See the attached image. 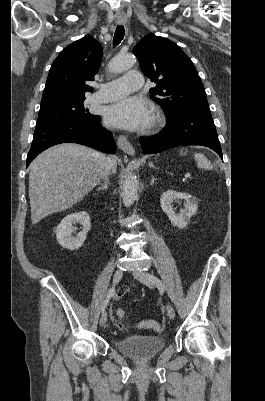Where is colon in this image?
I'll return each instance as SVG.
<instances>
[{
	"mask_svg": "<svg viewBox=\"0 0 265 401\" xmlns=\"http://www.w3.org/2000/svg\"><path fill=\"white\" fill-rule=\"evenodd\" d=\"M125 311L121 308H118L115 312L112 313V318L114 320V322L116 324H118L117 322V318H123L125 317ZM138 327L141 329H153L155 331H161V326L158 322H156L155 320H150V319H145V320H141L138 323Z\"/></svg>",
	"mask_w": 265,
	"mask_h": 401,
	"instance_id": "5ec220e1",
	"label": "colon"
}]
</instances>
